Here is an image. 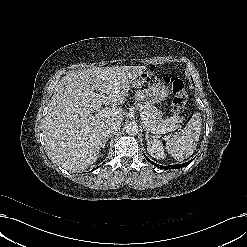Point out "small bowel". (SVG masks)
Here are the masks:
<instances>
[{"instance_id":"small-bowel-1","label":"small bowel","mask_w":247,"mask_h":247,"mask_svg":"<svg viewBox=\"0 0 247 247\" xmlns=\"http://www.w3.org/2000/svg\"><path fill=\"white\" fill-rule=\"evenodd\" d=\"M152 71L150 70L149 73L147 74V76L149 77L151 75Z\"/></svg>"}]
</instances>
